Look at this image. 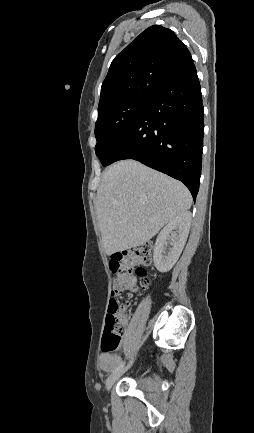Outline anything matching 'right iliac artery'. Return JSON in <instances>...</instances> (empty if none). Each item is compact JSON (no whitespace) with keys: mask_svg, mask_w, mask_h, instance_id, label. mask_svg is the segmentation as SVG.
I'll use <instances>...</instances> for the list:
<instances>
[{"mask_svg":"<svg viewBox=\"0 0 254 433\" xmlns=\"http://www.w3.org/2000/svg\"><path fill=\"white\" fill-rule=\"evenodd\" d=\"M123 366H124V362H121L114 370H113V373L114 372H116V371H118V370H120L121 368H123Z\"/></svg>","mask_w":254,"mask_h":433,"instance_id":"82829eb1","label":"right iliac artery"}]
</instances>
